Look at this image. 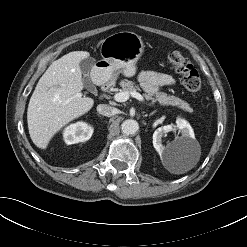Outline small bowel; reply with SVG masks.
<instances>
[{"label":"small bowel","instance_id":"small-bowel-1","mask_svg":"<svg viewBox=\"0 0 247 247\" xmlns=\"http://www.w3.org/2000/svg\"><path fill=\"white\" fill-rule=\"evenodd\" d=\"M138 78L148 94L157 92L161 86L172 85L175 82L171 74L153 70L141 72Z\"/></svg>","mask_w":247,"mask_h":247}]
</instances>
